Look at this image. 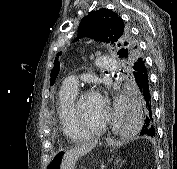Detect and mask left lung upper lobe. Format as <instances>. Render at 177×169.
Segmentation results:
<instances>
[{
	"instance_id": "5c2ea615",
	"label": "left lung upper lobe",
	"mask_w": 177,
	"mask_h": 169,
	"mask_svg": "<svg viewBox=\"0 0 177 169\" xmlns=\"http://www.w3.org/2000/svg\"><path fill=\"white\" fill-rule=\"evenodd\" d=\"M90 37L95 41H104L106 43H116L118 46L119 57L132 63L135 58L141 56L132 39L128 26L122 18L109 9H100L90 12L82 19L78 28L79 38ZM57 73L51 74V85L54 84Z\"/></svg>"
}]
</instances>
